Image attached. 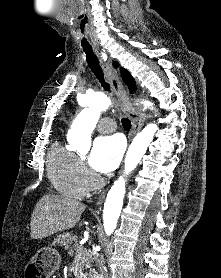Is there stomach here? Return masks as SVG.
I'll return each instance as SVG.
<instances>
[{
  "label": "stomach",
  "instance_id": "stomach-1",
  "mask_svg": "<svg viewBox=\"0 0 221 278\" xmlns=\"http://www.w3.org/2000/svg\"><path fill=\"white\" fill-rule=\"evenodd\" d=\"M61 256L52 248H42L26 264V278H49L60 267Z\"/></svg>",
  "mask_w": 221,
  "mask_h": 278
}]
</instances>
